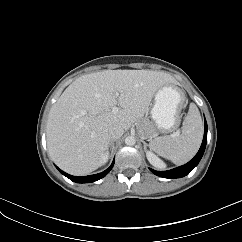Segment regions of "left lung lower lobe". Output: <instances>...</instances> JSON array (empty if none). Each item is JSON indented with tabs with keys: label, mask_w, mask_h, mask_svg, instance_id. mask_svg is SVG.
<instances>
[{
	"label": "left lung lower lobe",
	"mask_w": 242,
	"mask_h": 242,
	"mask_svg": "<svg viewBox=\"0 0 242 242\" xmlns=\"http://www.w3.org/2000/svg\"><path fill=\"white\" fill-rule=\"evenodd\" d=\"M207 129H208L207 123L205 120V130H204L203 142L201 144V147H200L198 153L188 163H186L185 165H182L180 167L174 168L172 170H168V171H155L152 169H150V171L153 172L155 175L163 177V178H180V177H184L187 174H189L190 171L193 170L198 165L199 161L201 160V158L204 154L206 142H207Z\"/></svg>",
	"instance_id": "0a47b994"
}]
</instances>
